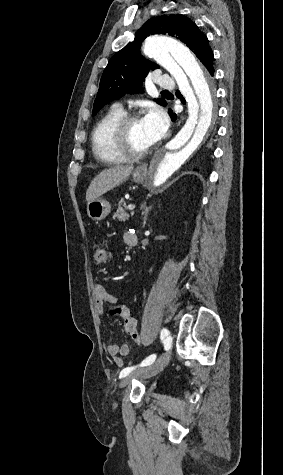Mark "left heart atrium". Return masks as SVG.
<instances>
[{"label":"left heart atrium","mask_w":283,"mask_h":475,"mask_svg":"<svg viewBox=\"0 0 283 475\" xmlns=\"http://www.w3.org/2000/svg\"><path fill=\"white\" fill-rule=\"evenodd\" d=\"M143 122L149 130L147 135L153 143L163 138L168 129V118L164 111L156 105L147 110Z\"/></svg>","instance_id":"obj_1"}]
</instances>
